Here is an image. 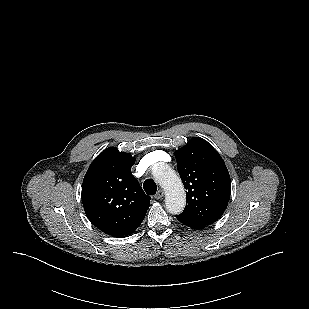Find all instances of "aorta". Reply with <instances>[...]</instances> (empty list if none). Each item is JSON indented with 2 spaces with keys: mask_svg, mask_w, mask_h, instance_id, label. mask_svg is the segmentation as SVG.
Segmentation results:
<instances>
[{
  "mask_svg": "<svg viewBox=\"0 0 309 309\" xmlns=\"http://www.w3.org/2000/svg\"><path fill=\"white\" fill-rule=\"evenodd\" d=\"M153 176L165 190V205L169 213H182L186 204V194L180 177L164 163L154 166Z\"/></svg>",
  "mask_w": 309,
  "mask_h": 309,
  "instance_id": "762f6f07",
  "label": "aorta"
}]
</instances>
